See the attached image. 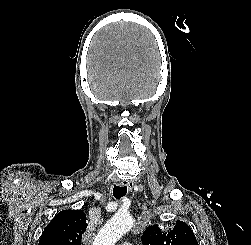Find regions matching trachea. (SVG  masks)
I'll list each match as a JSON object with an SVG mask.
<instances>
[{"instance_id": "obj_1", "label": "trachea", "mask_w": 251, "mask_h": 245, "mask_svg": "<svg viewBox=\"0 0 251 245\" xmlns=\"http://www.w3.org/2000/svg\"><path fill=\"white\" fill-rule=\"evenodd\" d=\"M127 193L126 186H114L113 188V195L116 199H120Z\"/></svg>"}]
</instances>
